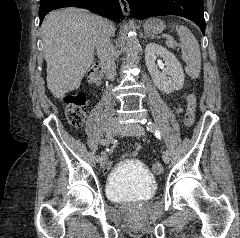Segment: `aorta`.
<instances>
[{"mask_svg": "<svg viewBox=\"0 0 240 238\" xmlns=\"http://www.w3.org/2000/svg\"><path fill=\"white\" fill-rule=\"evenodd\" d=\"M140 43L135 33L128 35L127 44L125 47L126 62H134L139 53Z\"/></svg>", "mask_w": 240, "mask_h": 238, "instance_id": "aorta-1", "label": "aorta"}]
</instances>
